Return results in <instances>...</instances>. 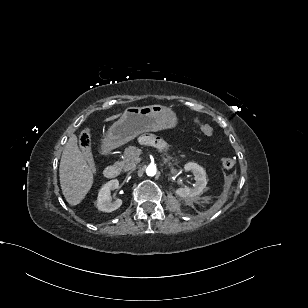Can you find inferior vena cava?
I'll return each mask as SVG.
<instances>
[{"label":"inferior vena cava","mask_w":308,"mask_h":308,"mask_svg":"<svg viewBox=\"0 0 308 308\" xmlns=\"http://www.w3.org/2000/svg\"><path fill=\"white\" fill-rule=\"evenodd\" d=\"M129 174H134V169L133 168L129 169Z\"/></svg>","instance_id":"obj_1"}]
</instances>
